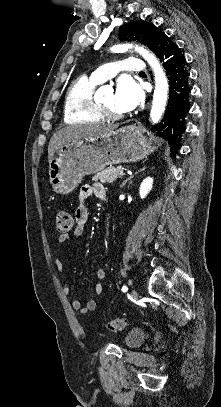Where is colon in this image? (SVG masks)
Wrapping results in <instances>:
<instances>
[{
    "mask_svg": "<svg viewBox=\"0 0 221 407\" xmlns=\"http://www.w3.org/2000/svg\"><path fill=\"white\" fill-rule=\"evenodd\" d=\"M72 226L73 219L71 215L66 211L58 212L56 217V230L61 234H66L72 229ZM126 324L127 320L125 317H118L110 320L105 327L108 332H115L123 329Z\"/></svg>",
    "mask_w": 221,
    "mask_h": 407,
    "instance_id": "obj_1",
    "label": "colon"
}]
</instances>
